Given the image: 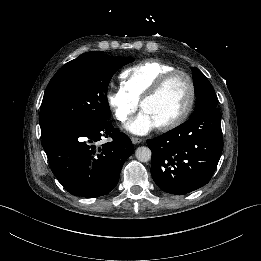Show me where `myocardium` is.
Here are the masks:
<instances>
[{"mask_svg":"<svg viewBox=\"0 0 261 261\" xmlns=\"http://www.w3.org/2000/svg\"><path fill=\"white\" fill-rule=\"evenodd\" d=\"M178 75L183 76L187 80V83L189 86V99H188V102H187L185 108L180 113V115H178L175 119H173L163 125L157 126L158 130H160V131H169V130H172V129L178 127L187 119V117L191 113L194 103H195V99H196V88H195V84H194L192 77L186 71H183V70L175 69V70L169 71L160 77V79L152 86V88L149 90V92L140 101V108L142 109L145 103L156 98L163 91V89L167 86V84L175 76H178Z\"/></svg>","mask_w":261,"mask_h":261,"instance_id":"obj_1","label":"myocardium"}]
</instances>
